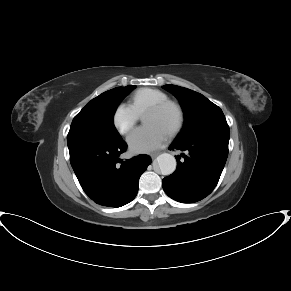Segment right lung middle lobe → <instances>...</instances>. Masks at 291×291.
<instances>
[{
	"label": "right lung middle lobe",
	"instance_id": "right-lung-middle-lobe-1",
	"mask_svg": "<svg viewBox=\"0 0 291 291\" xmlns=\"http://www.w3.org/2000/svg\"><path fill=\"white\" fill-rule=\"evenodd\" d=\"M134 88L135 85L117 87L89 101L74 117L67 140H92L106 144L121 141L113 117L119 103Z\"/></svg>",
	"mask_w": 291,
	"mask_h": 291
}]
</instances>
